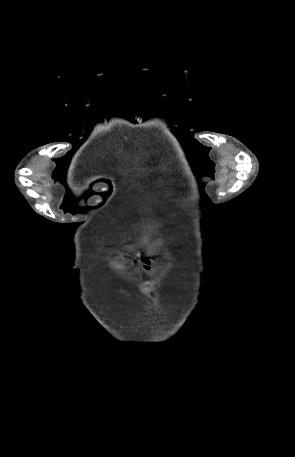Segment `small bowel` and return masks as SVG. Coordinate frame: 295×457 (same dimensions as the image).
<instances>
[{
  "mask_svg": "<svg viewBox=\"0 0 295 457\" xmlns=\"http://www.w3.org/2000/svg\"><path fill=\"white\" fill-rule=\"evenodd\" d=\"M150 267H151V260H150V259H145V260L143 261V268H144L145 270H149Z\"/></svg>",
  "mask_w": 295,
  "mask_h": 457,
  "instance_id": "obj_1",
  "label": "small bowel"
}]
</instances>
